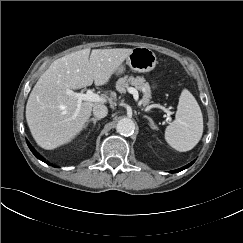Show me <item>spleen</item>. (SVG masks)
Masks as SVG:
<instances>
[{"label":"spleen","instance_id":"3e777b00","mask_svg":"<svg viewBox=\"0 0 243 243\" xmlns=\"http://www.w3.org/2000/svg\"><path fill=\"white\" fill-rule=\"evenodd\" d=\"M203 134V116L195 97L187 90L181 92L175 119L165 130V140L177 151L193 149Z\"/></svg>","mask_w":243,"mask_h":243}]
</instances>
